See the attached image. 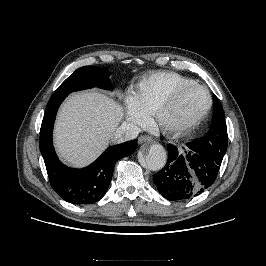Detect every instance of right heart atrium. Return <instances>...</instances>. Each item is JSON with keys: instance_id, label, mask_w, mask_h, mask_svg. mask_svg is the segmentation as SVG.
I'll list each match as a JSON object with an SVG mask.
<instances>
[{"instance_id": "1", "label": "right heart atrium", "mask_w": 266, "mask_h": 266, "mask_svg": "<svg viewBox=\"0 0 266 266\" xmlns=\"http://www.w3.org/2000/svg\"><path fill=\"white\" fill-rule=\"evenodd\" d=\"M126 118L130 123L140 127L146 126L149 122L148 115L136 105L133 98L127 101Z\"/></svg>"}]
</instances>
